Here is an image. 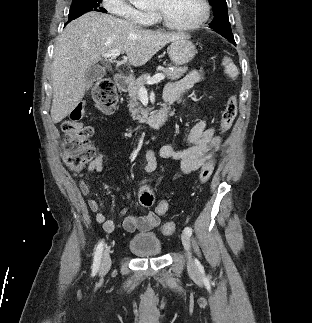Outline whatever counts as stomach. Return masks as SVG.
<instances>
[{
    "label": "stomach",
    "instance_id": "stomach-1",
    "mask_svg": "<svg viewBox=\"0 0 312 323\" xmlns=\"http://www.w3.org/2000/svg\"><path fill=\"white\" fill-rule=\"evenodd\" d=\"M168 54L171 62L175 66H183L188 64L197 54L196 46L193 42L187 38V36H181L179 40H174L168 48Z\"/></svg>",
    "mask_w": 312,
    "mask_h": 323
}]
</instances>
